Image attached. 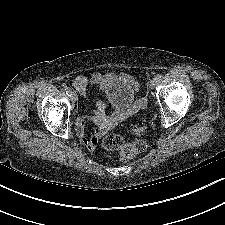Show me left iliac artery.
I'll return each instance as SVG.
<instances>
[{"instance_id":"44dca946","label":"left iliac artery","mask_w":225,"mask_h":225,"mask_svg":"<svg viewBox=\"0 0 225 225\" xmlns=\"http://www.w3.org/2000/svg\"><path fill=\"white\" fill-rule=\"evenodd\" d=\"M162 76L160 74H157L154 79L156 80V82H158L159 80H161Z\"/></svg>"}]
</instances>
